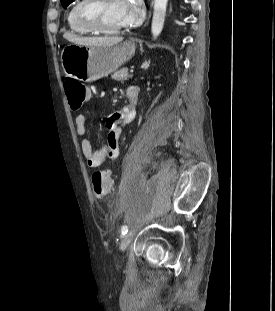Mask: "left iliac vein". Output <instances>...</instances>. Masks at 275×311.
Masks as SVG:
<instances>
[{"label": "left iliac vein", "mask_w": 275, "mask_h": 311, "mask_svg": "<svg viewBox=\"0 0 275 311\" xmlns=\"http://www.w3.org/2000/svg\"><path fill=\"white\" fill-rule=\"evenodd\" d=\"M132 238H133V233L132 232H129V233L123 235V237L121 239V242H120V250L121 251H124L128 247V245L131 242Z\"/></svg>", "instance_id": "1"}]
</instances>
